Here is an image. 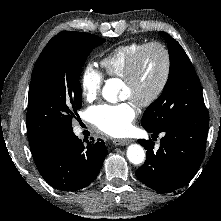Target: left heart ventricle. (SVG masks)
Listing matches in <instances>:
<instances>
[{"label": "left heart ventricle", "instance_id": "1", "mask_svg": "<svg viewBox=\"0 0 221 221\" xmlns=\"http://www.w3.org/2000/svg\"><path fill=\"white\" fill-rule=\"evenodd\" d=\"M164 70V58L158 49L149 50L141 63L136 79L123 85V95L133 101L147 98L159 84Z\"/></svg>", "mask_w": 221, "mask_h": 221}]
</instances>
